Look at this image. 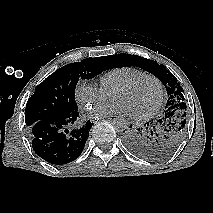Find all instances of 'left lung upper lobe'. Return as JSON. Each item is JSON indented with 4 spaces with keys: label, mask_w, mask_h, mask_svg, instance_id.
Returning <instances> with one entry per match:
<instances>
[{
    "label": "left lung upper lobe",
    "mask_w": 213,
    "mask_h": 213,
    "mask_svg": "<svg viewBox=\"0 0 213 213\" xmlns=\"http://www.w3.org/2000/svg\"><path fill=\"white\" fill-rule=\"evenodd\" d=\"M113 64L118 66H136L155 75L166 87L168 100L157 129L148 140L149 152L146 158L161 160L175 152L186 134L187 106L183 88L169 70L149 59L131 54L113 56Z\"/></svg>",
    "instance_id": "1"
}]
</instances>
